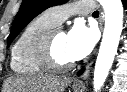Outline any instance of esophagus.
<instances>
[{"label": "esophagus", "instance_id": "obj_1", "mask_svg": "<svg viewBox=\"0 0 127 92\" xmlns=\"http://www.w3.org/2000/svg\"><path fill=\"white\" fill-rule=\"evenodd\" d=\"M90 68H91V63L87 65L86 70H85V72L82 75V79L77 80V81L74 82V86H76V87H84V81L89 76Z\"/></svg>", "mask_w": 127, "mask_h": 92}]
</instances>
